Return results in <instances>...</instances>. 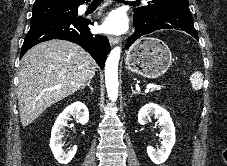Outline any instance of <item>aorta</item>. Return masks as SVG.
Here are the masks:
<instances>
[{"instance_id": "762f6f07", "label": "aorta", "mask_w": 227, "mask_h": 166, "mask_svg": "<svg viewBox=\"0 0 227 166\" xmlns=\"http://www.w3.org/2000/svg\"><path fill=\"white\" fill-rule=\"evenodd\" d=\"M121 48L115 47L109 54L105 64V81L108 97L116 101L118 97V64Z\"/></svg>"}]
</instances>
